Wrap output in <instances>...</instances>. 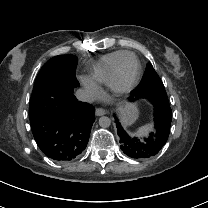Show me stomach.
Wrapping results in <instances>:
<instances>
[{
	"mask_svg": "<svg viewBox=\"0 0 208 208\" xmlns=\"http://www.w3.org/2000/svg\"><path fill=\"white\" fill-rule=\"evenodd\" d=\"M139 116L136 104L128 103L121 109V122L127 127L133 124Z\"/></svg>",
	"mask_w": 208,
	"mask_h": 208,
	"instance_id": "1",
	"label": "stomach"
}]
</instances>
